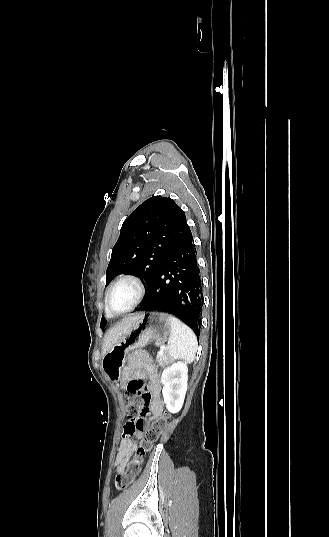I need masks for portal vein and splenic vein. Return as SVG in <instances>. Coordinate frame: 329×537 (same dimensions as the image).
I'll return each mask as SVG.
<instances>
[{"label":"portal vein and splenic vein","mask_w":329,"mask_h":537,"mask_svg":"<svg viewBox=\"0 0 329 537\" xmlns=\"http://www.w3.org/2000/svg\"><path fill=\"white\" fill-rule=\"evenodd\" d=\"M164 349H165V347H164V346H161V347H160V350H161V351H163Z\"/></svg>","instance_id":"18ae733b"}]
</instances>
